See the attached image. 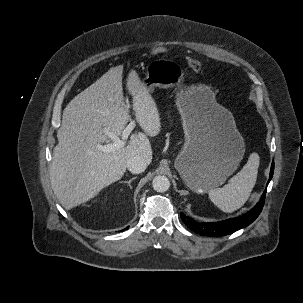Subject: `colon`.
<instances>
[{"instance_id":"obj_1","label":"colon","mask_w":303,"mask_h":303,"mask_svg":"<svg viewBox=\"0 0 303 303\" xmlns=\"http://www.w3.org/2000/svg\"><path fill=\"white\" fill-rule=\"evenodd\" d=\"M165 52L166 48L164 46H157L153 49V54L155 56L163 55ZM186 63L187 66L194 72H200L202 70L201 62L193 57H186Z\"/></svg>"}]
</instances>
